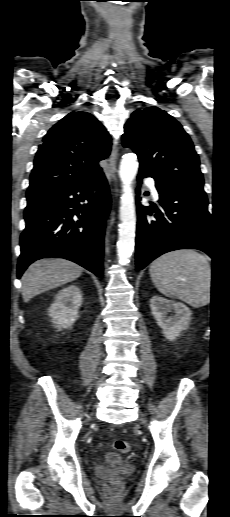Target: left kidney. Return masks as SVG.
Wrapping results in <instances>:
<instances>
[{"instance_id":"1","label":"left kidney","mask_w":230,"mask_h":517,"mask_svg":"<svg viewBox=\"0 0 230 517\" xmlns=\"http://www.w3.org/2000/svg\"><path fill=\"white\" fill-rule=\"evenodd\" d=\"M151 313L157 324L162 328L166 339L175 340L182 330H185L191 320V311L183 303L168 300L160 296L150 299ZM173 311L172 316L168 313Z\"/></svg>"}]
</instances>
